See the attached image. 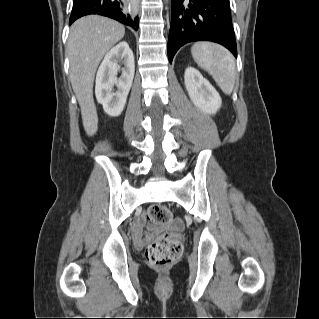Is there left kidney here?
<instances>
[{"label":"left kidney","instance_id":"1","mask_svg":"<svg viewBox=\"0 0 319 319\" xmlns=\"http://www.w3.org/2000/svg\"><path fill=\"white\" fill-rule=\"evenodd\" d=\"M184 81L193 104L206 114H216L222 100L216 89L194 67L185 70Z\"/></svg>","mask_w":319,"mask_h":319}]
</instances>
